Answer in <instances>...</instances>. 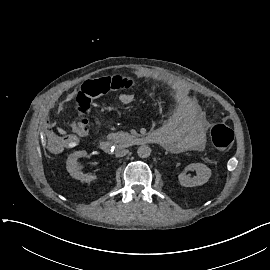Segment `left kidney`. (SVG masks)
Instances as JSON below:
<instances>
[{
	"label": "left kidney",
	"instance_id": "1",
	"mask_svg": "<svg viewBox=\"0 0 270 270\" xmlns=\"http://www.w3.org/2000/svg\"><path fill=\"white\" fill-rule=\"evenodd\" d=\"M195 170L197 176L190 177L186 175V171ZM211 177V169L202 163H192L185 167L184 172L178 176L179 182L185 187H194L205 184Z\"/></svg>",
	"mask_w": 270,
	"mask_h": 270
}]
</instances>
